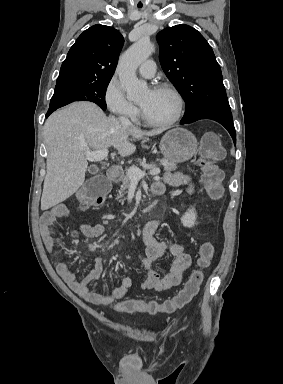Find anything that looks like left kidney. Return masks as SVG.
I'll list each match as a JSON object with an SVG mask.
<instances>
[{
	"label": "left kidney",
	"instance_id": "1",
	"mask_svg": "<svg viewBox=\"0 0 283 384\" xmlns=\"http://www.w3.org/2000/svg\"><path fill=\"white\" fill-rule=\"evenodd\" d=\"M181 222H182L183 226H185V228H192V226H195L196 214H195L194 210H188V212H186L185 216H183V218H181Z\"/></svg>",
	"mask_w": 283,
	"mask_h": 384
}]
</instances>
